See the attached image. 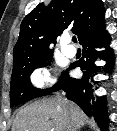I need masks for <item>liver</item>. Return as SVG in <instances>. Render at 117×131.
I'll return each instance as SVG.
<instances>
[{
	"instance_id": "liver-1",
	"label": "liver",
	"mask_w": 117,
	"mask_h": 131,
	"mask_svg": "<svg viewBox=\"0 0 117 131\" xmlns=\"http://www.w3.org/2000/svg\"><path fill=\"white\" fill-rule=\"evenodd\" d=\"M85 120L86 115L74 103L42 99L19 110L12 131H76Z\"/></svg>"
}]
</instances>
